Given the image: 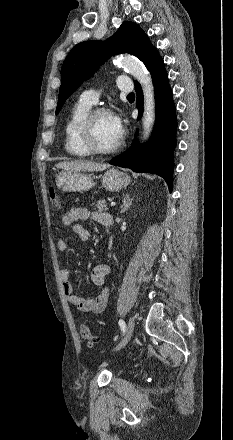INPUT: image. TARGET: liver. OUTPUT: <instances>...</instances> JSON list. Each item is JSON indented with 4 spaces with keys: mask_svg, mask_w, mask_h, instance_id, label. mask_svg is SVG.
<instances>
[{
    "mask_svg": "<svg viewBox=\"0 0 233 440\" xmlns=\"http://www.w3.org/2000/svg\"><path fill=\"white\" fill-rule=\"evenodd\" d=\"M58 169L65 172L73 171H103L109 167L108 164L94 163L90 161H70V162H60L56 164Z\"/></svg>",
    "mask_w": 233,
    "mask_h": 440,
    "instance_id": "1",
    "label": "liver"
}]
</instances>
